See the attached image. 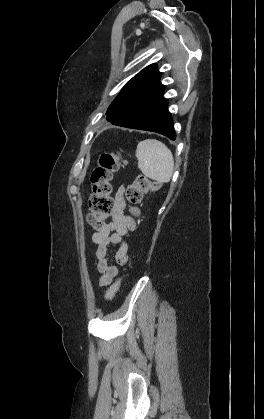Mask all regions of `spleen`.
Wrapping results in <instances>:
<instances>
[{"label":"spleen","instance_id":"spleen-1","mask_svg":"<svg viewBox=\"0 0 264 419\" xmlns=\"http://www.w3.org/2000/svg\"><path fill=\"white\" fill-rule=\"evenodd\" d=\"M138 168L147 177L160 183L170 181L173 170V155L168 147L156 140L147 139L138 143L136 149Z\"/></svg>","mask_w":264,"mask_h":419}]
</instances>
